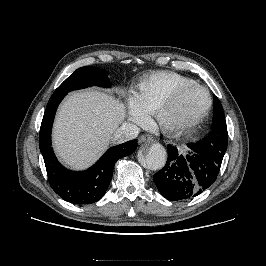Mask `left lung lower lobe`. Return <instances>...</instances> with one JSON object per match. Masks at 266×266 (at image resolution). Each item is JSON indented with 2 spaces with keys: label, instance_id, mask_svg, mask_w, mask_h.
Masks as SVG:
<instances>
[{
  "label": "left lung lower lobe",
  "instance_id": "obj_1",
  "mask_svg": "<svg viewBox=\"0 0 266 266\" xmlns=\"http://www.w3.org/2000/svg\"><path fill=\"white\" fill-rule=\"evenodd\" d=\"M228 142L215 141L207 146L188 144V154L168 145L165 166L154 174L153 181L168 200H187L201 194L211 186L220 171Z\"/></svg>",
  "mask_w": 266,
  "mask_h": 266
}]
</instances>
